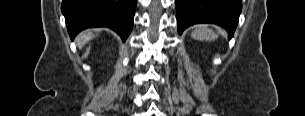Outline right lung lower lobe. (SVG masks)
Instances as JSON below:
<instances>
[{"label":"right lung lower lobe","instance_id":"right-lung-lower-lobe-1","mask_svg":"<svg viewBox=\"0 0 305 116\" xmlns=\"http://www.w3.org/2000/svg\"><path fill=\"white\" fill-rule=\"evenodd\" d=\"M137 0H63L71 39L86 28L108 27L125 41L133 28Z\"/></svg>","mask_w":305,"mask_h":116}]
</instances>
